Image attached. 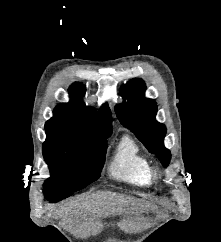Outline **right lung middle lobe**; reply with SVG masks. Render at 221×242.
<instances>
[{
	"mask_svg": "<svg viewBox=\"0 0 221 242\" xmlns=\"http://www.w3.org/2000/svg\"><path fill=\"white\" fill-rule=\"evenodd\" d=\"M43 156L51 177L44 192L66 197L96 181L101 174L107 150V138L88 137L66 130H46Z\"/></svg>",
	"mask_w": 221,
	"mask_h": 242,
	"instance_id": "1",
	"label": "right lung middle lobe"
}]
</instances>
